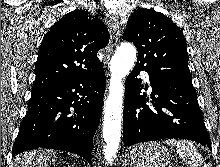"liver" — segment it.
<instances>
[{
    "mask_svg": "<svg viewBox=\"0 0 220 167\" xmlns=\"http://www.w3.org/2000/svg\"><path fill=\"white\" fill-rule=\"evenodd\" d=\"M55 154L50 150H33L15 157L14 167H48Z\"/></svg>",
    "mask_w": 220,
    "mask_h": 167,
    "instance_id": "liver-1",
    "label": "liver"
}]
</instances>
